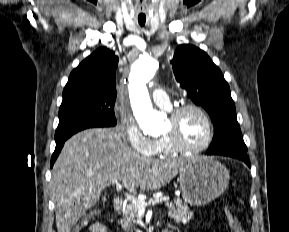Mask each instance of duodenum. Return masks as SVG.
<instances>
[{
	"instance_id": "410a0bca",
	"label": "duodenum",
	"mask_w": 289,
	"mask_h": 232,
	"mask_svg": "<svg viewBox=\"0 0 289 232\" xmlns=\"http://www.w3.org/2000/svg\"><path fill=\"white\" fill-rule=\"evenodd\" d=\"M124 208V201L121 197H117L114 200V210L116 212H120L122 209ZM162 232H165V230H163Z\"/></svg>"
}]
</instances>
